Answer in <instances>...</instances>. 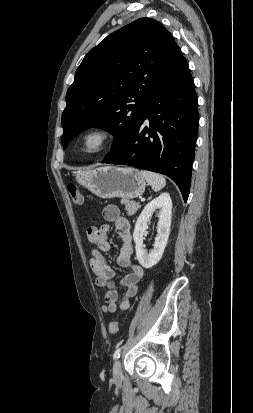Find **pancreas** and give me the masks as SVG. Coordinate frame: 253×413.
Returning a JSON list of instances; mask_svg holds the SVG:
<instances>
[{
	"instance_id": "1",
	"label": "pancreas",
	"mask_w": 253,
	"mask_h": 413,
	"mask_svg": "<svg viewBox=\"0 0 253 413\" xmlns=\"http://www.w3.org/2000/svg\"><path fill=\"white\" fill-rule=\"evenodd\" d=\"M122 203L125 205V210L128 215H133L137 210L140 208L139 203L135 201H130L127 199H123Z\"/></svg>"
}]
</instances>
